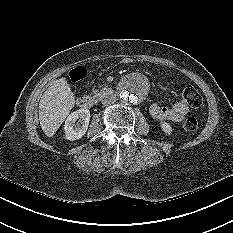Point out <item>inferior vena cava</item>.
I'll return each mask as SVG.
<instances>
[{
    "instance_id": "inferior-vena-cava-1",
    "label": "inferior vena cava",
    "mask_w": 233,
    "mask_h": 233,
    "mask_svg": "<svg viewBox=\"0 0 233 233\" xmlns=\"http://www.w3.org/2000/svg\"><path fill=\"white\" fill-rule=\"evenodd\" d=\"M117 98L115 95H110L102 100V104L104 106H108L111 104H114L116 102Z\"/></svg>"
}]
</instances>
